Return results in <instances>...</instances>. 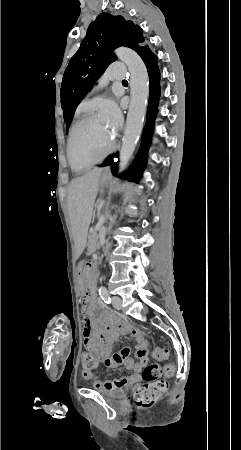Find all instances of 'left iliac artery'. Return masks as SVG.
I'll use <instances>...</instances> for the list:
<instances>
[{
	"label": "left iliac artery",
	"instance_id": "left-iliac-artery-1",
	"mask_svg": "<svg viewBox=\"0 0 241 450\" xmlns=\"http://www.w3.org/2000/svg\"><path fill=\"white\" fill-rule=\"evenodd\" d=\"M99 294H100L102 300H103L106 304H110V303H111L110 294H109L108 290L106 289V287L101 286V287L99 288Z\"/></svg>",
	"mask_w": 241,
	"mask_h": 450
}]
</instances>
